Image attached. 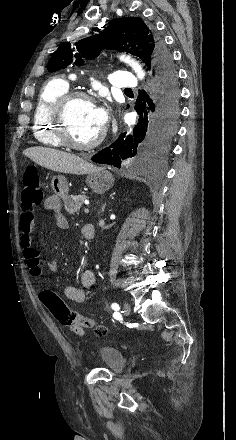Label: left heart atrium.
<instances>
[{
  "label": "left heart atrium",
  "instance_id": "obj_1",
  "mask_svg": "<svg viewBox=\"0 0 236 440\" xmlns=\"http://www.w3.org/2000/svg\"><path fill=\"white\" fill-rule=\"evenodd\" d=\"M95 119L101 129H103L107 124V112L104 107L97 106L94 108Z\"/></svg>",
  "mask_w": 236,
  "mask_h": 440
}]
</instances>
